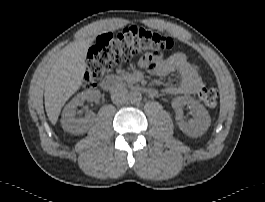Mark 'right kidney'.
Masks as SVG:
<instances>
[{
	"label": "right kidney",
	"mask_w": 265,
	"mask_h": 202,
	"mask_svg": "<svg viewBox=\"0 0 265 202\" xmlns=\"http://www.w3.org/2000/svg\"><path fill=\"white\" fill-rule=\"evenodd\" d=\"M100 96L101 94L98 90H86L77 94V96H75L63 109L61 118L62 128L75 135L85 133L89 127L92 116L78 117L77 108L82 105L85 100L97 101Z\"/></svg>",
	"instance_id": "right-kidney-1"
}]
</instances>
